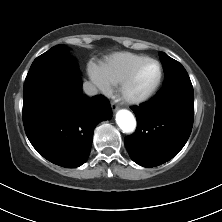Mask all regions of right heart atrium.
I'll list each match as a JSON object with an SVG mask.
<instances>
[{"label":"right heart atrium","instance_id":"d8ad5b80","mask_svg":"<svg viewBox=\"0 0 222 222\" xmlns=\"http://www.w3.org/2000/svg\"><path fill=\"white\" fill-rule=\"evenodd\" d=\"M89 75L93 82L96 84L99 92L103 95H109L111 92V86L107 84L101 77L98 72V68L94 65L89 67Z\"/></svg>","mask_w":222,"mask_h":222}]
</instances>
